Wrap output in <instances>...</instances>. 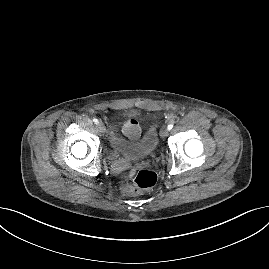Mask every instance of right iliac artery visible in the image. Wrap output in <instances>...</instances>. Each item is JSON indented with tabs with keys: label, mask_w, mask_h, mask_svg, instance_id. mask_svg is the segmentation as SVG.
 I'll list each match as a JSON object with an SVG mask.
<instances>
[{
	"label": "right iliac artery",
	"mask_w": 269,
	"mask_h": 269,
	"mask_svg": "<svg viewBox=\"0 0 269 269\" xmlns=\"http://www.w3.org/2000/svg\"><path fill=\"white\" fill-rule=\"evenodd\" d=\"M93 122L95 123V124H98L99 123V121H98V119H93Z\"/></svg>",
	"instance_id": "obj_1"
}]
</instances>
